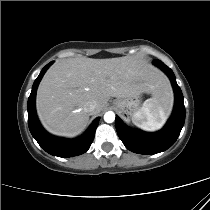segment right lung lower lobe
I'll list each match as a JSON object with an SVG mask.
<instances>
[{
    "mask_svg": "<svg viewBox=\"0 0 210 210\" xmlns=\"http://www.w3.org/2000/svg\"><path fill=\"white\" fill-rule=\"evenodd\" d=\"M53 62L48 63L40 72L35 80L31 94L28 98V125L32 136L36 139L38 144L49 154L58 157H72L85 153L94 139L95 130L99 124L98 118L91 124L88 130L79 138L63 139L50 135L40 125L36 116L35 110V96L36 90L44 73Z\"/></svg>",
    "mask_w": 210,
    "mask_h": 210,
    "instance_id": "98d812e1",
    "label": "right lung lower lobe"
}]
</instances>
